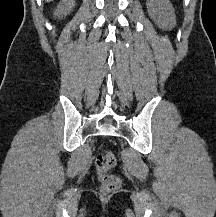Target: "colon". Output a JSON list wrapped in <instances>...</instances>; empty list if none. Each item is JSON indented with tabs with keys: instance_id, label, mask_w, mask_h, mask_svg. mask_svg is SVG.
<instances>
[{
	"instance_id": "5ec220e1",
	"label": "colon",
	"mask_w": 216,
	"mask_h": 217,
	"mask_svg": "<svg viewBox=\"0 0 216 217\" xmlns=\"http://www.w3.org/2000/svg\"><path fill=\"white\" fill-rule=\"evenodd\" d=\"M95 166L98 180L101 183L100 190L103 194H110L120 187V178L117 175L109 173L116 166V157L112 151L99 153Z\"/></svg>"
}]
</instances>
